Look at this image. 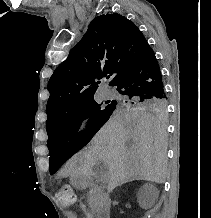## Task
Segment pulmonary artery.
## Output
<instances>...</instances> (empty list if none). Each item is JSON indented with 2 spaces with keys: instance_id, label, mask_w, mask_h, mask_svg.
<instances>
[{
  "instance_id": "1",
  "label": "pulmonary artery",
  "mask_w": 211,
  "mask_h": 218,
  "mask_svg": "<svg viewBox=\"0 0 211 218\" xmlns=\"http://www.w3.org/2000/svg\"><path fill=\"white\" fill-rule=\"evenodd\" d=\"M114 95L113 91L109 89L108 87H105L103 90V96L105 99H110Z\"/></svg>"
}]
</instances>
